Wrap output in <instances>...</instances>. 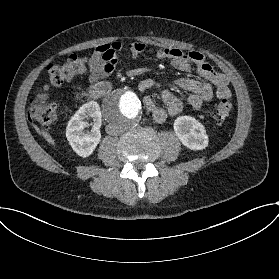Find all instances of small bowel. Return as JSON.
I'll use <instances>...</instances> for the list:
<instances>
[{
	"instance_id": "c3829d8e",
	"label": "small bowel",
	"mask_w": 279,
	"mask_h": 279,
	"mask_svg": "<svg viewBox=\"0 0 279 279\" xmlns=\"http://www.w3.org/2000/svg\"><path fill=\"white\" fill-rule=\"evenodd\" d=\"M121 49L122 44L119 41L100 44L94 49L88 59V80L91 84L99 83L115 72L121 63ZM144 49L145 45L143 43L135 42L130 45V54L133 58H136L143 53ZM155 56L158 60H170L176 69L185 72L190 71L192 66L195 65L198 74L206 80L201 82L190 78L177 79L174 86L179 91L187 94H175L164 88L154 78L142 79L138 84L139 90L142 92L156 90L165 105L163 108L152 97L144 98V106L156 122L162 123L169 117L177 115L182 111L184 105L198 110L211 103L215 95L221 99L231 96L228 78L216 72L205 61L201 52L197 50L183 52L179 48L165 47L158 49ZM44 90L49 91V85H44Z\"/></svg>"
}]
</instances>
